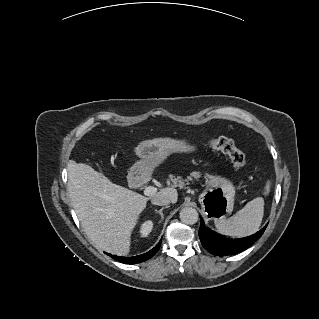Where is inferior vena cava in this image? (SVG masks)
<instances>
[{"instance_id": "602c4592", "label": "inferior vena cava", "mask_w": 319, "mask_h": 319, "mask_svg": "<svg viewBox=\"0 0 319 319\" xmlns=\"http://www.w3.org/2000/svg\"><path fill=\"white\" fill-rule=\"evenodd\" d=\"M152 203L159 205V206L168 207V205L170 204V199L168 197H165V196H156L152 199Z\"/></svg>"}]
</instances>
